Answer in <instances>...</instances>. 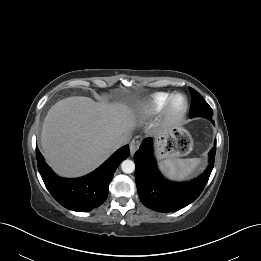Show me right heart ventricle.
I'll use <instances>...</instances> for the list:
<instances>
[{
    "mask_svg": "<svg viewBox=\"0 0 261 261\" xmlns=\"http://www.w3.org/2000/svg\"><path fill=\"white\" fill-rule=\"evenodd\" d=\"M171 94L165 92H159L152 95L147 107L145 108V113L150 114L155 111H159L166 107Z\"/></svg>",
    "mask_w": 261,
    "mask_h": 261,
    "instance_id": "obj_1",
    "label": "right heart ventricle"
}]
</instances>
